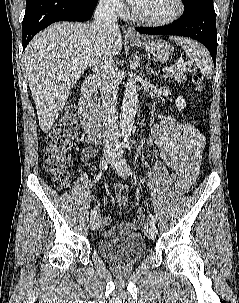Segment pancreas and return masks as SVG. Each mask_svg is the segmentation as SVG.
I'll return each mask as SVG.
<instances>
[{
  "mask_svg": "<svg viewBox=\"0 0 239 303\" xmlns=\"http://www.w3.org/2000/svg\"><path fill=\"white\" fill-rule=\"evenodd\" d=\"M188 69L185 67V65H182L180 67L174 68L172 72L166 73V77H170L171 79H174L178 83H184L186 78V72Z\"/></svg>",
  "mask_w": 239,
  "mask_h": 303,
  "instance_id": "pancreas-1",
  "label": "pancreas"
}]
</instances>
